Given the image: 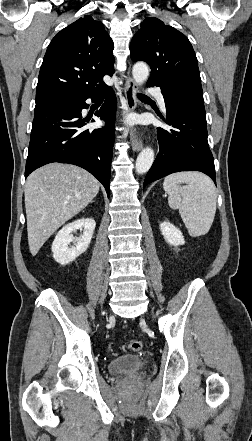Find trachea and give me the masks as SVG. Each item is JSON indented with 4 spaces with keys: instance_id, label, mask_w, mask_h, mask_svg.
I'll return each instance as SVG.
<instances>
[{
    "instance_id": "obj_1",
    "label": "trachea",
    "mask_w": 252,
    "mask_h": 441,
    "mask_svg": "<svg viewBox=\"0 0 252 441\" xmlns=\"http://www.w3.org/2000/svg\"><path fill=\"white\" fill-rule=\"evenodd\" d=\"M138 97L140 99H149V97L145 96L144 94H138Z\"/></svg>"
}]
</instances>
